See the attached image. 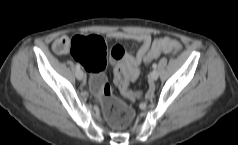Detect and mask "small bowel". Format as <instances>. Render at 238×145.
I'll use <instances>...</instances> for the list:
<instances>
[{"label": "small bowel", "mask_w": 238, "mask_h": 145, "mask_svg": "<svg viewBox=\"0 0 238 145\" xmlns=\"http://www.w3.org/2000/svg\"><path fill=\"white\" fill-rule=\"evenodd\" d=\"M110 37L113 39L118 40H135L141 43V46L135 55L126 53L123 59L120 61L127 72L128 78L131 81H135L138 79L140 75L139 65L145 61V57L150 49L152 44V38L149 34L146 33H130V32H123V31H114L110 34ZM166 40L169 43L176 46L180 49V44L177 40L172 39L170 37H162L158 40ZM70 38L67 36H61L56 39L53 43V51L59 55L68 53V42ZM157 40V41H158ZM161 53H168V51H161Z\"/></svg>", "instance_id": "small-bowel-1"}]
</instances>
